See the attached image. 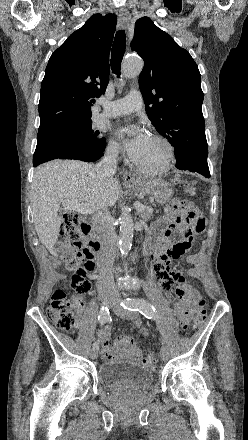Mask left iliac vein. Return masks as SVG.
<instances>
[{
	"instance_id": "left-iliac-vein-1",
	"label": "left iliac vein",
	"mask_w": 248,
	"mask_h": 440,
	"mask_svg": "<svg viewBox=\"0 0 248 440\" xmlns=\"http://www.w3.org/2000/svg\"><path fill=\"white\" fill-rule=\"evenodd\" d=\"M112 310L114 311L115 314H117L118 316H120L123 319H127V320H133L135 319V314L125 310L121 305H120V300L116 299L113 303V305L111 306ZM160 356L162 358V360L166 361L169 357V353H168V349L163 346L161 348L160 351Z\"/></svg>"
}]
</instances>
